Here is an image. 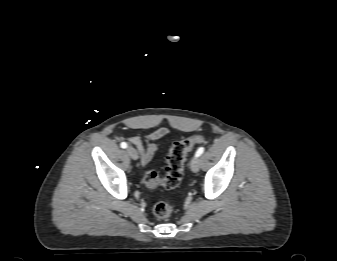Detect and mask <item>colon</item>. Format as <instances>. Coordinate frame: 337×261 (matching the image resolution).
<instances>
[{
  "instance_id": "1",
  "label": "colon",
  "mask_w": 337,
  "mask_h": 261,
  "mask_svg": "<svg viewBox=\"0 0 337 261\" xmlns=\"http://www.w3.org/2000/svg\"><path fill=\"white\" fill-rule=\"evenodd\" d=\"M205 141L206 138L204 136L193 135L174 142L167 156L165 175L160 177L156 171L149 170L143 178L145 185L150 189L164 188L171 190L177 188L182 180L187 154L194 145ZM174 212V205L164 201L157 202L153 207V214L159 219L169 218Z\"/></svg>"
}]
</instances>
